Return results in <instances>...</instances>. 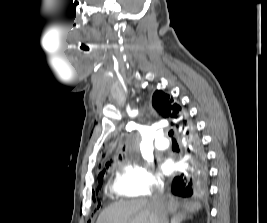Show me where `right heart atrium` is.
<instances>
[{"mask_svg": "<svg viewBox=\"0 0 267 223\" xmlns=\"http://www.w3.org/2000/svg\"><path fill=\"white\" fill-rule=\"evenodd\" d=\"M115 184L126 195L149 196L160 190L164 182L150 165L128 162L121 167Z\"/></svg>", "mask_w": 267, "mask_h": 223, "instance_id": "obj_1", "label": "right heart atrium"}]
</instances>
